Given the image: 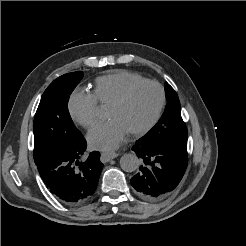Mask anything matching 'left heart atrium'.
Returning a JSON list of instances; mask_svg holds the SVG:
<instances>
[{
    "label": "left heart atrium",
    "instance_id": "left-heart-atrium-1",
    "mask_svg": "<svg viewBox=\"0 0 246 246\" xmlns=\"http://www.w3.org/2000/svg\"><path fill=\"white\" fill-rule=\"evenodd\" d=\"M128 132L118 119L113 118L92 128L88 133V141L95 149L113 150L120 145Z\"/></svg>",
    "mask_w": 246,
    "mask_h": 246
}]
</instances>
